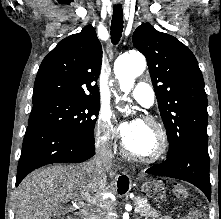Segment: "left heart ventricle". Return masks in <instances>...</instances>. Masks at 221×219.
Masks as SVG:
<instances>
[{
    "instance_id": "obj_1",
    "label": "left heart ventricle",
    "mask_w": 221,
    "mask_h": 219,
    "mask_svg": "<svg viewBox=\"0 0 221 219\" xmlns=\"http://www.w3.org/2000/svg\"><path fill=\"white\" fill-rule=\"evenodd\" d=\"M125 143L131 152L148 156L155 152L158 145V136L153 128L138 121L136 129L125 140Z\"/></svg>"
}]
</instances>
